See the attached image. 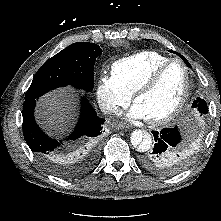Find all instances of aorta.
I'll list each match as a JSON object with an SVG mask.
<instances>
[{
    "instance_id": "obj_1",
    "label": "aorta",
    "mask_w": 221,
    "mask_h": 221,
    "mask_svg": "<svg viewBox=\"0 0 221 221\" xmlns=\"http://www.w3.org/2000/svg\"><path fill=\"white\" fill-rule=\"evenodd\" d=\"M131 144L140 152H146L151 148L152 137L148 132L135 130L131 133Z\"/></svg>"
}]
</instances>
